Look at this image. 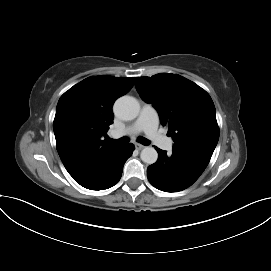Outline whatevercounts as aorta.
I'll return each instance as SVG.
<instances>
[{
  "mask_svg": "<svg viewBox=\"0 0 271 271\" xmlns=\"http://www.w3.org/2000/svg\"><path fill=\"white\" fill-rule=\"evenodd\" d=\"M139 111V102L131 96H122L114 104V112L122 120L135 119ZM140 158L144 163L154 164L157 161L158 153L153 147H145L141 151Z\"/></svg>",
  "mask_w": 271,
  "mask_h": 271,
  "instance_id": "762f6f07",
  "label": "aorta"
}]
</instances>
